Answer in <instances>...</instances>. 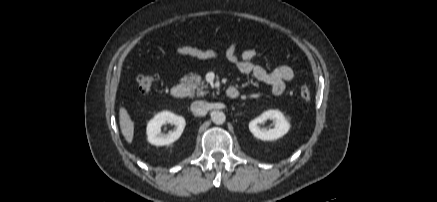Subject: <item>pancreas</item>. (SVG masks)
<instances>
[{"instance_id":"cf45deb5","label":"pancreas","mask_w":437,"mask_h":202,"mask_svg":"<svg viewBox=\"0 0 437 202\" xmlns=\"http://www.w3.org/2000/svg\"><path fill=\"white\" fill-rule=\"evenodd\" d=\"M181 83L187 88V95L190 97H202L207 94L205 90L207 84L202 80L200 75L184 76L181 79Z\"/></svg>"}]
</instances>
